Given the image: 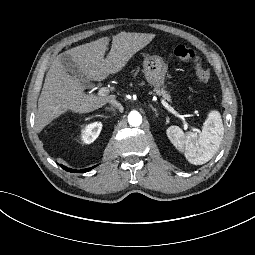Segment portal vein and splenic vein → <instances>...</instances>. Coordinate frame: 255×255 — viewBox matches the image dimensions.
<instances>
[{"label":"portal vein and splenic vein","mask_w":255,"mask_h":255,"mask_svg":"<svg viewBox=\"0 0 255 255\" xmlns=\"http://www.w3.org/2000/svg\"><path fill=\"white\" fill-rule=\"evenodd\" d=\"M107 93H108V89H106V88H101V89L98 90L97 95L100 96V97H104V96L107 95ZM164 106H165V108L168 109L170 112L174 113L173 108L170 107L167 103L164 102ZM174 115H175L176 117H178V118H181V119L183 120V123H184V130H187L188 127H187V125H186V122H185V119L183 118V116H182V115H179V114H176V113H174Z\"/></svg>","instance_id":"18ae733b"}]
</instances>
